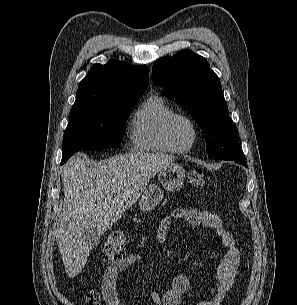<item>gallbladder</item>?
Segmentation results:
<instances>
[{
  "mask_svg": "<svg viewBox=\"0 0 297 305\" xmlns=\"http://www.w3.org/2000/svg\"><path fill=\"white\" fill-rule=\"evenodd\" d=\"M83 237L85 243L88 245L90 249H92L97 247V245L99 244L101 234L95 229L87 228L84 231Z\"/></svg>",
  "mask_w": 297,
  "mask_h": 305,
  "instance_id": "gallbladder-1",
  "label": "gallbladder"
}]
</instances>
